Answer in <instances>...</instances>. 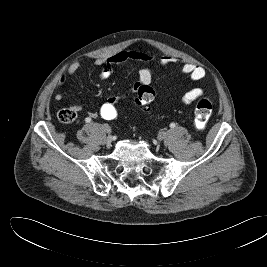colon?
I'll use <instances>...</instances> for the list:
<instances>
[{"instance_id":"5ec220e1","label":"colon","mask_w":267,"mask_h":267,"mask_svg":"<svg viewBox=\"0 0 267 267\" xmlns=\"http://www.w3.org/2000/svg\"><path fill=\"white\" fill-rule=\"evenodd\" d=\"M155 97L154 90L148 85H140L135 90V102L140 106L149 105ZM120 113L119 101L112 97L104 100L98 110L97 114L106 121H115ZM212 113V104L206 98H200L196 103L194 112V126L198 131L206 128ZM58 120L61 123L69 124L76 119V113L70 108L61 109L58 112Z\"/></svg>"}]
</instances>
